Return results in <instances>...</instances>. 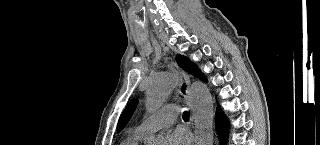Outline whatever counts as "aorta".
Segmentation results:
<instances>
[{"mask_svg":"<svg viewBox=\"0 0 320 145\" xmlns=\"http://www.w3.org/2000/svg\"><path fill=\"white\" fill-rule=\"evenodd\" d=\"M176 85V75L171 72L160 73L151 78L146 91V107L156 111L167 100ZM191 107L194 114L196 145L213 144V100L209 89L196 81L190 91ZM153 145L158 143L153 142Z\"/></svg>","mask_w":320,"mask_h":145,"instance_id":"1","label":"aorta"}]
</instances>
